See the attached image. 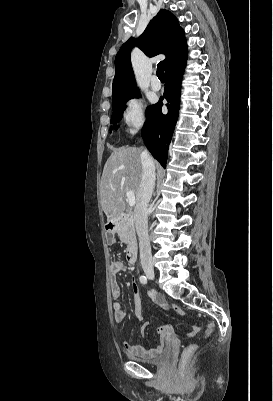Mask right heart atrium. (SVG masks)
Masks as SVG:
<instances>
[{
	"label": "right heart atrium",
	"mask_w": 273,
	"mask_h": 401,
	"mask_svg": "<svg viewBox=\"0 0 273 401\" xmlns=\"http://www.w3.org/2000/svg\"><path fill=\"white\" fill-rule=\"evenodd\" d=\"M123 121L129 135L136 134L142 128L145 118L144 107L141 100L137 98H130L127 100L123 110Z\"/></svg>",
	"instance_id": "d8ad5b80"
}]
</instances>
